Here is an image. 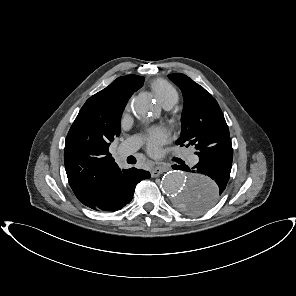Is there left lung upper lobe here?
<instances>
[{"label": "left lung upper lobe", "instance_id": "1", "mask_svg": "<svg viewBox=\"0 0 296 296\" xmlns=\"http://www.w3.org/2000/svg\"><path fill=\"white\" fill-rule=\"evenodd\" d=\"M168 76L180 87L184 97L181 135L177 144L192 145L200 157L217 150L219 143L230 140L224 115L212 95L184 74ZM191 200H186L183 209H187Z\"/></svg>", "mask_w": 296, "mask_h": 296}]
</instances>
